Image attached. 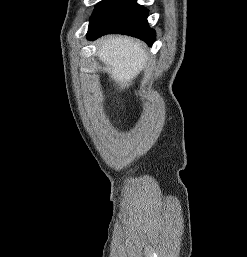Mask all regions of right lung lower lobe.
Listing matches in <instances>:
<instances>
[{"mask_svg": "<svg viewBox=\"0 0 247 257\" xmlns=\"http://www.w3.org/2000/svg\"><path fill=\"white\" fill-rule=\"evenodd\" d=\"M148 10L136 0H103L90 19L87 37L94 40L107 33L133 36L151 46L156 33L147 22Z\"/></svg>", "mask_w": 247, "mask_h": 257, "instance_id": "1", "label": "right lung lower lobe"}]
</instances>
